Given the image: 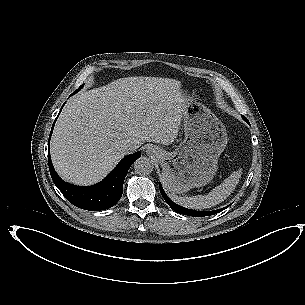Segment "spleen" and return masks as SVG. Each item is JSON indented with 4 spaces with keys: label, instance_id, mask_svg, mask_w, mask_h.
Returning <instances> with one entry per match:
<instances>
[{
    "label": "spleen",
    "instance_id": "spleen-1",
    "mask_svg": "<svg viewBox=\"0 0 305 305\" xmlns=\"http://www.w3.org/2000/svg\"><path fill=\"white\" fill-rule=\"evenodd\" d=\"M238 177V172H233L219 186H216L207 195L182 197L172 193L170 194V197L178 205L189 209L202 210L210 208L221 203L231 194L233 186L237 182Z\"/></svg>",
    "mask_w": 305,
    "mask_h": 305
}]
</instances>
